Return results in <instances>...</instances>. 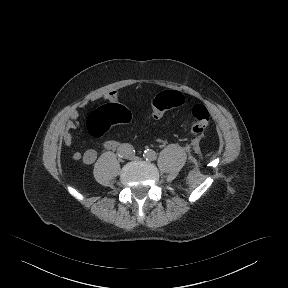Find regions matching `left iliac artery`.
Wrapping results in <instances>:
<instances>
[{
    "mask_svg": "<svg viewBox=\"0 0 288 288\" xmlns=\"http://www.w3.org/2000/svg\"><path fill=\"white\" fill-rule=\"evenodd\" d=\"M143 156L148 161H153V160H155L157 158V154L155 153V151L150 150V149H146L144 151Z\"/></svg>",
    "mask_w": 288,
    "mask_h": 288,
    "instance_id": "1",
    "label": "left iliac artery"
}]
</instances>
